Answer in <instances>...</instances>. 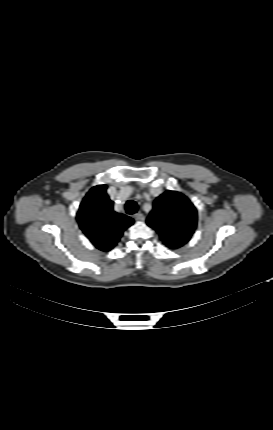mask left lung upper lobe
<instances>
[{
    "label": "left lung upper lobe",
    "instance_id": "obj_1",
    "mask_svg": "<svg viewBox=\"0 0 273 430\" xmlns=\"http://www.w3.org/2000/svg\"><path fill=\"white\" fill-rule=\"evenodd\" d=\"M146 222L159 233L166 246L176 249L191 238L196 228L197 211L183 194L166 191L156 198Z\"/></svg>",
    "mask_w": 273,
    "mask_h": 430
}]
</instances>
